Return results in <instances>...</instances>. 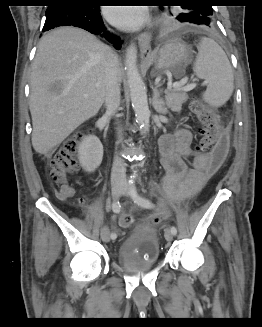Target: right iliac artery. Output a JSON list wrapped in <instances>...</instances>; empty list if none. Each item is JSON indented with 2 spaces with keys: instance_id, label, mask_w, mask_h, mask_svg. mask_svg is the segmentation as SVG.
<instances>
[{
  "instance_id": "obj_1",
  "label": "right iliac artery",
  "mask_w": 262,
  "mask_h": 327,
  "mask_svg": "<svg viewBox=\"0 0 262 327\" xmlns=\"http://www.w3.org/2000/svg\"><path fill=\"white\" fill-rule=\"evenodd\" d=\"M112 210H113L114 213H119L120 212L121 205H120L119 201H114L112 203ZM116 237H117V235L115 233L111 234L112 239H116Z\"/></svg>"
}]
</instances>
